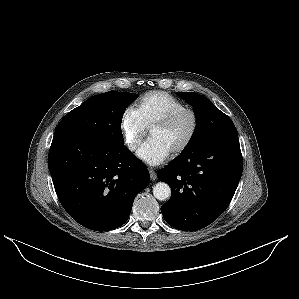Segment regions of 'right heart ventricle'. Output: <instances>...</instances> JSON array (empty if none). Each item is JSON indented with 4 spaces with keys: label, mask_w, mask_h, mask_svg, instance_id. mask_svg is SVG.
<instances>
[{
    "label": "right heart ventricle",
    "mask_w": 299,
    "mask_h": 299,
    "mask_svg": "<svg viewBox=\"0 0 299 299\" xmlns=\"http://www.w3.org/2000/svg\"><path fill=\"white\" fill-rule=\"evenodd\" d=\"M187 106L171 94L164 91H152L144 94L136 104V111L146 128Z\"/></svg>",
    "instance_id": "right-heart-ventricle-1"
}]
</instances>
